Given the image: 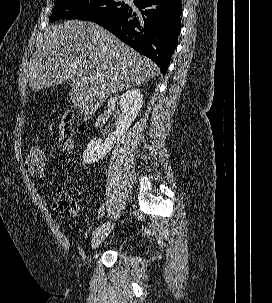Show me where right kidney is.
Here are the masks:
<instances>
[{
    "label": "right kidney",
    "mask_w": 272,
    "mask_h": 303,
    "mask_svg": "<svg viewBox=\"0 0 272 303\" xmlns=\"http://www.w3.org/2000/svg\"><path fill=\"white\" fill-rule=\"evenodd\" d=\"M122 116L112 135L104 141L92 139L83 152L82 161L84 164H92L103 159L119 141L120 137L129 129L132 122L136 119L142 104L143 94L139 89H132L121 95L119 101ZM103 120V114H100L95 122V127L100 125Z\"/></svg>",
    "instance_id": "1"
}]
</instances>
